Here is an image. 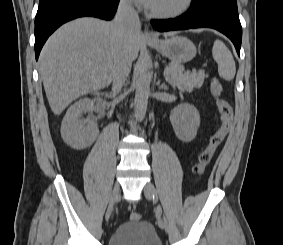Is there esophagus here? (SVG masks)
Wrapping results in <instances>:
<instances>
[{"instance_id": "34e87169", "label": "esophagus", "mask_w": 283, "mask_h": 245, "mask_svg": "<svg viewBox=\"0 0 283 245\" xmlns=\"http://www.w3.org/2000/svg\"><path fill=\"white\" fill-rule=\"evenodd\" d=\"M143 39L146 40V41H155V40H157L156 36H155L154 33L148 28L147 25H145V27H144Z\"/></svg>"}]
</instances>
